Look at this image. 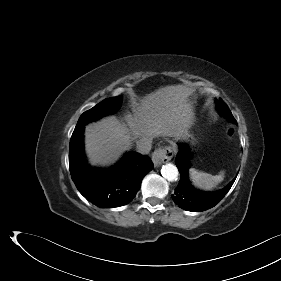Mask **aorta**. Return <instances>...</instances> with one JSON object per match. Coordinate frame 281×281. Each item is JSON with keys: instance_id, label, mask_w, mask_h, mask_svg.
Returning <instances> with one entry per match:
<instances>
[{"instance_id": "aorta-1", "label": "aorta", "mask_w": 281, "mask_h": 281, "mask_svg": "<svg viewBox=\"0 0 281 281\" xmlns=\"http://www.w3.org/2000/svg\"><path fill=\"white\" fill-rule=\"evenodd\" d=\"M162 176L167 179L168 181H175L178 178V169L177 167L172 163H167L163 165L161 169Z\"/></svg>"}]
</instances>
